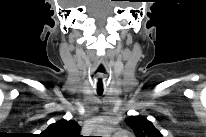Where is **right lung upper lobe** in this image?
Returning <instances> with one entry per match:
<instances>
[{"label": "right lung upper lobe", "instance_id": "cb5924a9", "mask_svg": "<svg viewBox=\"0 0 206 137\" xmlns=\"http://www.w3.org/2000/svg\"><path fill=\"white\" fill-rule=\"evenodd\" d=\"M80 132V126L74 120H60L42 132L45 137H77Z\"/></svg>", "mask_w": 206, "mask_h": 137}]
</instances>
